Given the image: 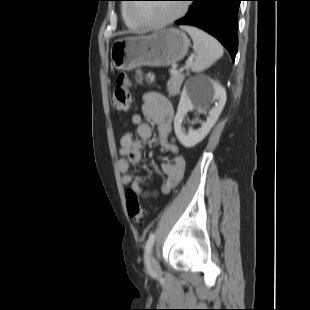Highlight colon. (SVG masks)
<instances>
[{
	"label": "colon",
	"mask_w": 310,
	"mask_h": 310,
	"mask_svg": "<svg viewBox=\"0 0 310 310\" xmlns=\"http://www.w3.org/2000/svg\"><path fill=\"white\" fill-rule=\"evenodd\" d=\"M137 81L153 80L151 73H144L137 70L135 73ZM131 78L126 73H121L117 79L113 91V107L119 112H125L129 109L131 103ZM126 206L129 216L137 223H142L144 219V210L141 205L139 195L132 189H128L125 194Z\"/></svg>",
	"instance_id": "5ec220e1"
}]
</instances>
